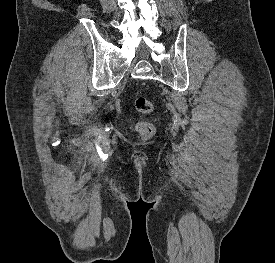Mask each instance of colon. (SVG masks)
I'll return each mask as SVG.
<instances>
[{"label": "colon", "mask_w": 275, "mask_h": 263, "mask_svg": "<svg viewBox=\"0 0 275 263\" xmlns=\"http://www.w3.org/2000/svg\"><path fill=\"white\" fill-rule=\"evenodd\" d=\"M135 109L140 115H146L152 112L153 110V103L146 97H137L135 99ZM136 132L143 138L149 139L154 135L155 128L154 125L143 119L139 118L135 124Z\"/></svg>", "instance_id": "5ec220e1"}]
</instances>
